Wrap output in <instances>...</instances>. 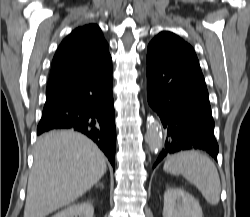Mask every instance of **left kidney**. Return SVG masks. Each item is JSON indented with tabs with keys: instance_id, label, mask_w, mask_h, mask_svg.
<instances>
[{
	"instance_id": "obj_1",
	"label": "left kidney",
	"mask_w": 250,
	"mask_h": 217,
	"mask_svg": "<svg viewBox=\"0 0 250 217\" xmlns=\"http://www.w3.org/2000/svg\"><path fill=\"white\" fill-rule=\"evenodd\" d=\"M163 217H203L199 202L185 190L174 187L164 194Z\"/></svg>"
}]
</instances>
